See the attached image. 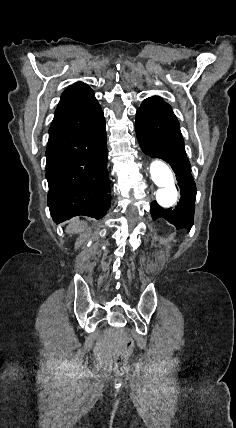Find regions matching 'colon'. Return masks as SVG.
Wrapping results in <instances>:
<instances>
[{
  "label": "colon",
  "mask_w": 236,
  "mask_h": 428,
  "mask_svg": "<svg viewBox=\"0 0 236 428\" xmlns=\"http://www.w3.org/2000/svg\"><path fill=\"white\" fill-rule=\"evenodd\" d=\"M135 349V342L130 336L123 339L121 348L115 357V370L119 375L127 372V360Z\"/></svg>",
  "instance_id": "5ec220e1"
}]
</instances>
